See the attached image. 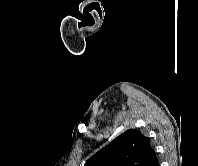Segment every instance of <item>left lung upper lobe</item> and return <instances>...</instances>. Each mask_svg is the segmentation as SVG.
Segmentation results:
<instances>
[{
  "instance_id": "obj_1",
  "label": "left lung upper lobe",
  "mask_w": 198,
  "mask_h": 166,
  "mask_svg": "<svg viewBox=\"0 0 198 166\" xmlns=\"http://www.w3.org/2000/svg\"><path fill=\"white\" fill-rule=\"evenodd\" d=\"M156 158L149 138L130 129L94 154L84 166H151Z\"/></svg>"
}]
</instances>
